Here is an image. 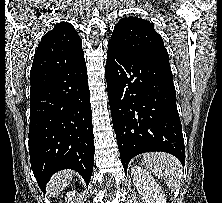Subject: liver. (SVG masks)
<instances>
[{"mask_svg":"<svg viewBox=\"0 0 222 203\" xmlns=\"http://www.w3.org/2000/svg\"><path fill=\"white\" fill-rule=\"evenodd\" d=\"M74 175L71 170L61 171L55 174L48 183V190L51 196H58L59 193L70 183Z\"/></svg>","mask_w":222,"mask_h":203,"instance_id":"6515ba94","label":"liver"}]
</instances>
